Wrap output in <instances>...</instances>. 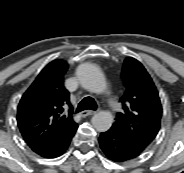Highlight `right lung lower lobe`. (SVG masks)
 <instances>
[{
  "instance_id": "right-lung-lower-lobe-1",
  "label": "right lung lower lobe",
  "mask_w": 184,
  "mask_h": 173,
  "mask_svg": "<svg viewBox=\"0 0 184 173\" xmlns=\"http://www.w3.org/2000/svg\"><path fill=\"white\" fill-rule=\"evenodd\" d=\"M76 130H77V127L71 130L68 134H66L62 139H60L56 144H54L49 149L41 152H36V153L39 154L41 157L48 158V159L61 156L70 145V142Z\"/></svg>"
}]
</instances>
